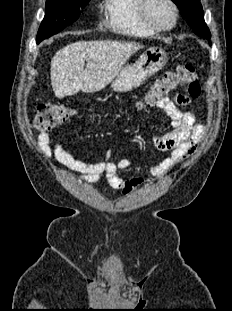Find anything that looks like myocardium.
Masks as SVG:
<instances>
[{"mask_svg": "<svg viewBox=\"0 0 232 311\" xmlns=\"http://www.w3.org/2000/svg\"><path fill=\"white\" fill-rule=\"evenodd\" d=\"M166 1L169 3V5L171 6V8L173 10V20H172L171 24L168 26H159V25L153 23L148 17L147 7H148L150 0H139L137 12H138V16H139L140 20L146 27H148L149 29H151L155 32L169 31L175 27V25L178 21L179 11H178V7H177L176 3L173 0H166Z\"/></svg>", "mask_w": 232, "mask_h": 311, "instance_id": "f54148a6", "label": "myocardium"}]
</instances>
